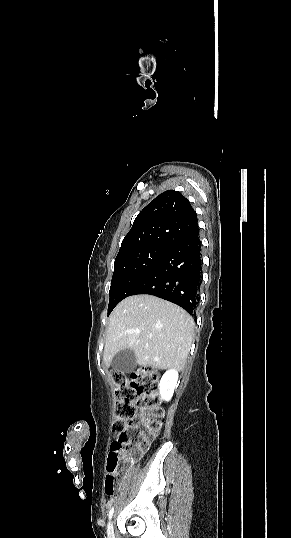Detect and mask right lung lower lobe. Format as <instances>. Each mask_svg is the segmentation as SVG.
Masks as SVG:
<instances>
[{
    "instance_id": "1",
    "label": "right lung lower lobe",
    "mask_w": 291,
    "mask_h": 538,
    "mask_svg": "<svg viewBox=\"0 0 291 538\" xmlns=\"http://www.w3.org/2000/svg\"><path fill=\"white\" fill-rule=\"evenodd\" d=\"M201 273V241L198 231L171 247L132 290L130 296L154 295L195 315L200 299Z\"/></svg>"
}]
</instances>
